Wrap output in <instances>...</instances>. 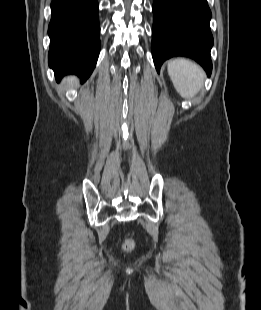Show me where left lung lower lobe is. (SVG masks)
Listing matches in <instances>:
<instances>
[{
    "mask_svg": "<svg viewBox=\"0 0 261 310\" xmlns=\"http://www.w3.org/2000/svg\"><path fill=\"white\" fill-rule=\"evenodd\" d=\"M152 56L157 72L173 56H187L212 71L211 11L207 0H154Z\"/></svg>",
    "mask_w": 261,
    "mask_h": 310,
    "instance_id": "1",
    "label": "left lung lower lobe"
}]
</instances>
